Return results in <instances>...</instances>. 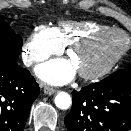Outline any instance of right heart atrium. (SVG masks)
Segmentation results:
<instances>
[{
	"instance_id": "right-heart-atrium-1",
	"label": "right heart atrium",
	"mask_w": 131,
	"mask_h": 131,
	"mask_svg": "<svg viewBox=\"0 0 131 131\" xmlns=\"http://www.w3.org/2000/svg\"><path fill=\"white\" fill-rule=\"evenodd\" d=\"M63 46L54 36L51 28L41 25L29 36L23 47V60L27 65L42 62L49 56L59 53Z\"/></svg>"
}]
</instances>
